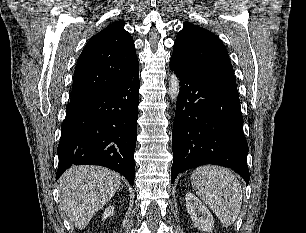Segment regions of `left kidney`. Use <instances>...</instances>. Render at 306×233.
<instances>
[{"instance_id": "obj_1", "label": "left kidney", "mask_w": 306, "mask_h": 233, "mask_svg": "<svg viewBox=\"0 0 306 233\" xmlns=\"http://www.w3.org/2000/svg\"><path fill=\"white\" fill-rule=\"evenodd\" d=\"M187 212L194 226L204 232H212L214 219L209 209L191 192L185 197Z\"/></svg>"}]
</instances>
